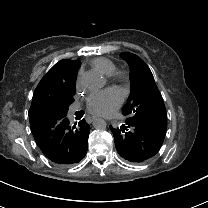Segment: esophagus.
I'll return each mask as SVG.
<instances>
[{
    "instance_id": "34e87169",
    "label": "esophagus",
    "mask_w": 208,
    "mask_h": 208,
    "mask_svg": "<svg viewBox=\"0 0 208 208\" xmlns=\"http://www.w3.org/2000/svg\"><path fill=\"white\" fill-rule=\"evenodd\" d=\"M95 119H96L95 116H89V117L86 118V121H87L88 123H92Z\"/></svg>"
}]
</instances>
